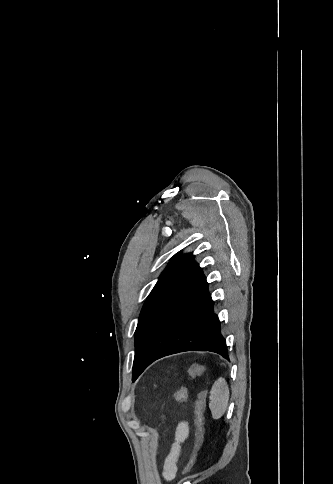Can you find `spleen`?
<instances>
[{"label":"spleen","mask_w":333,"mask_h":484,"mask_svg":"<svg viewBox=\"0 0 333 484\" xmlns=\"http://www.w3.org/2000/svg\"><path fill=\"white\" fill-rule=\"evenodd\" d=\"M209 399L212 418L218 420L224 415L229 401V388L224 378H219L214 382Z\"/></svg>","instance_id":"1"}]
</instances>
